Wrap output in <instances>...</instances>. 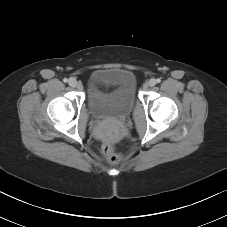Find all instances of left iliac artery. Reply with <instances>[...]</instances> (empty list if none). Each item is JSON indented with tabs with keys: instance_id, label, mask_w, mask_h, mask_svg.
<instances>
[{
	"instance_id": "obj_1",
	"label": "left iliac artery",
	"mask_w": 227,
	"mask_h": 227,
	"mask_svg": "<svg viewBox=\"0 0 227 227\" xmlns=\"http://www.w3.org/2000/svg\"><path fill=\"white\" fill-rule=\"evenodd\" d=\"M156 82L157 83H160L161 82V79L160 78L156 79Z\"/></svg>"
}]
</instances>
